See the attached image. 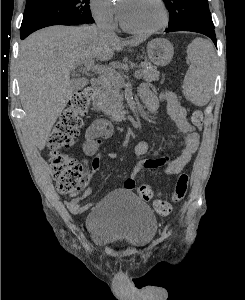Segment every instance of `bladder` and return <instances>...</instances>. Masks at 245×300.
I'll return each mask as SVG.
<instances>
[{
    "label": "bladder",
    "instance_id": "1",
    "mask_svg": "<svg viewBox=\"0 0 245 300\" xmlns=\"http://www.w3.org/2000/svg\"><path fill=\"white\" fill-rule=\"evenodd\" d=\"M92 241L106 247L147 245L157 231L150 207L127 190H114L98 201L87 215Z\"/></svg>",
    "mask_w": 245,
    "mask_h": 300
}]
</instances>
